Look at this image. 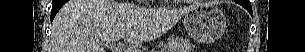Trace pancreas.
Segmentation results:
<instances>
[{
	"label": "pancreas",
	"mask_w": 305,
	"mask_h": 52,
	"mask_svg": "<svg viewBox=\"0 0 305 52\" xmlns=\"http://www.w3.org/2000/svg\"><path fill=\"white\" fill-rule=\"evenodd\" d=\"M194 48L189 39L170 37L163 45L162 52H191Z\"/></svg>",
	"instance_id": "cf45deb5"
}]
</instances>
